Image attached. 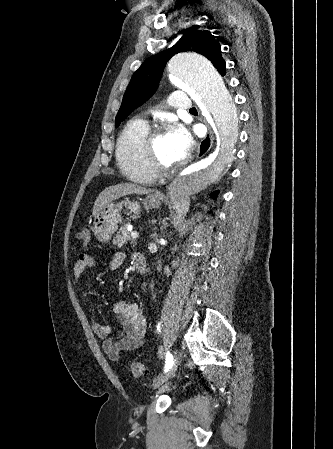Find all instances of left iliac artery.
I'll return each mask as SVG.
<instances>
[{
  "instance_id": "1",
  "label": "left iliac artery",
  "mask_w": 333,
  "mask_h": 449,
  "mask_svg": "<svg viewBox=\"0 0 333 449\" xmlns=\"http://www.w3.org/2000/svg\"><path fill=\"white\" fill-rule=\"evenodd\" d=\"M160 329H161V327H160V323H158V325H157V330H158V332H160ZM173 356H172V354L171 353H169V352H167L166 353V361H165V368H164V372H167V371H169V369L172 367V365H173Z\"/></svg>"
}]
</instances>
